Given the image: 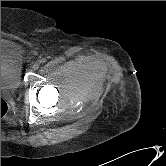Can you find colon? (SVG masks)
Listing matches in <instances>:
<instances>
[{
    "label": "colon",
    "instance_id": "1",
    "mask_svg": "<svg viewBox=\"0 0 166 166\" xmlns=\"http://www.w3.org/2000/svg\"><path fill=\"white\" fill-rule=\"evenodd\" d=\"M8 112V105L7 102L1 98V119L7 114Z\"/></svg>",
    "mask_w": 166,
    "mask_h": 166
}]
</instances>
